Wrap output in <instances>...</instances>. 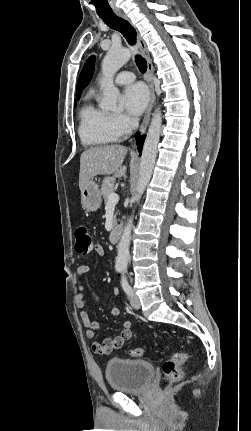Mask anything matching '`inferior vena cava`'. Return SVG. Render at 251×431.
<instances>
[{"label": "inferior vena cava", "mask_w": 251, "mask_h": 431, "mask_svg": "<svg viewBox=\"0 0 251 431\" xmlns=\"http://www.w3.org/2000/svg\"><path fill=\"white\" fill-rule=\"evenodd\" d=\"M131 126L133 129L137 128L138 127V120L135 118L131 119Z\"/></svg>", "instance_id": "inferior-vena-cava-1"}]
</instances>
